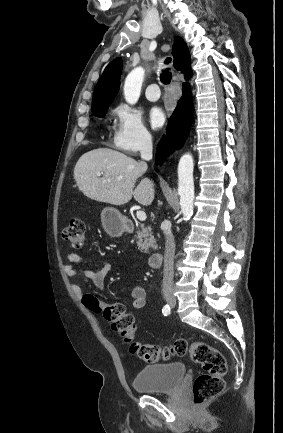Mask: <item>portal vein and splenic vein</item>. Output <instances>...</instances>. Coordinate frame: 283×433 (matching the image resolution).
Here are the masks:
<instances>
[{"mask_svg": "<svg viewBox=\"0 0 283 433\" xmlns=\"http://www.w3.org/2000/svg\"><path fill=\"white\" fill-rule=\"evenodd\" d=\"M96 174H98V176H101L103 172H96ZM120 178H122V176H118L117 180H120ZM136 217L137 219H139V221H146L147 219L146 212H144V210H137Z\"/></svg>", "mask_w": 283, "mask_h": 433, "instance_id": "18ae733b", "label": "portal vein and splenic vein"}]
</instances>
